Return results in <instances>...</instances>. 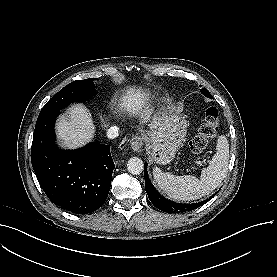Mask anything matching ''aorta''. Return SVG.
<instances>
[{
  "label": "aorta",
  "instance_id": "1",
  "mask_svg": "<svg viewBox=\"0 0 277 277\" xmlns=\"http://www.w3.org/2000/svg\"><path fill=\"white\" fill-rule=\"evenodd\" d=\"M127 169L129 171V173H131L133 175H139L144 170V163H143L142 159H140L138 157H132L128 160Z\"/></svg>",
  "mask_w": 277,
  "mask_h": 277
}]
</instances>
